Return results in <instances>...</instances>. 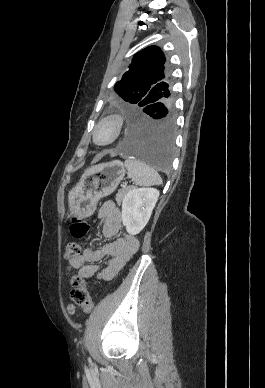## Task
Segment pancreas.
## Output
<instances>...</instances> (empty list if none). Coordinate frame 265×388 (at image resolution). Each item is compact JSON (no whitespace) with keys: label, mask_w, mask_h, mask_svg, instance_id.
I'll return each instance as SVG.
<instances>
[{"label":"pancreas","mask_w":265,"mask_h":388,"mask_svg":"<svg viewBox=\"0 0 265 388\" xmlns=\"http://www.w3.org/2000/svg\"><path fill=\"white\" fill-rule=\"evenodd\" d=\"M129 190H131V188H122V190H118V194H117V198H116V202H117L118 206H120L124 196H126V194H128Z\"/></svg>","instance_id":"obj_1"}]
</instances>
